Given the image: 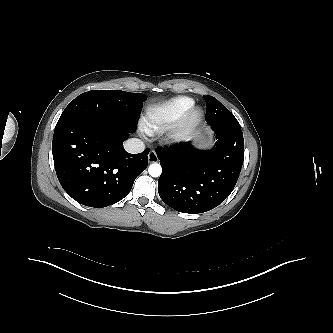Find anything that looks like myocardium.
Masks as SVG:
<instances>
[{
  "label": "myocardium",
  "instance_id": "obj_1",
  "mask_svg": "<svg viewBox=\"0 0 333 333\" xmlns=\"http://www.w3.org/2000/svg\"><path fill=\"white\" fill-rule=\"evenodd\" d=\"M204 111L198 106L189 108L170 132L168 140L172 143L185 139L201 123Z\"/></svg>",
  "mask_w": 333,
  "mask_h": 333
}]
</instances>
